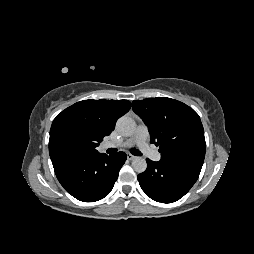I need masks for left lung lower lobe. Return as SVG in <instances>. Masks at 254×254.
Here are the masks:
<instances>
[{"mask_svg": "<svg viewBox=\"0 0 254 254\" xmlns=\"http://www.w3.org/2000/svg\"><path fill=\"white\" fill-rule=\"evenodd\" d=\"M147 169L138 175L142 190L154 201L172 203L182 198L197 181L201 169L146 159Z\"/></svg>", "mask_w": 254, "mask_h": 254, "instance_id": "left-lung-lower-lobe-1", "label": "left lung lower lobe"}]
</instances>
